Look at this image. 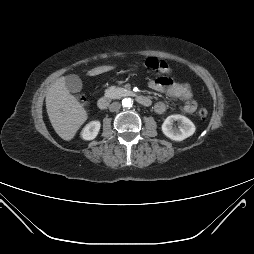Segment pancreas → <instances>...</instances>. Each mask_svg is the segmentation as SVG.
Returning a JSON list of instances; mask_svg holds the SVG:
<instances>
[{"mask_svg": "<svg viewBox=\"0 0 254 254\" xmlns=\"http://www.w3.org/2000/svg\"><path fill=\"white\" fill-rule=\"evenodd\" d=\"M128 93V90L115 86H111L105 90V96L111 99H118Z\"/></svg>", "mask_w": 254, "mask_h": 254, "instance_id": "pancreas-1", "label": "pancreas"}]
</instances>
